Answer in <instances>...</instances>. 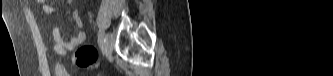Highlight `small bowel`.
<instances>
[{
  "instance_id": "c3829d8e",
  "label": "small bowel",
  "mask_w": 333,
  "mask_h": 76,
  "mask_svg": "<svg viewBox=\"0 0 333 76\" xmlns=\"http://www.w3.org/2000/svg\"><path fill=\"white\" fill-rule=\"evenodd\" d=\"M37 2L45 13H47L49 15L54 14L55 10L48 1L38 0ZM72 20L79 28V31L75 36L71 37L70 39L64 38L59 23L54 22V24H53V27H52V36H53V41H54L53 50L59 55H65L68 52L74 50L76 47H78L80 44H82L86 39V30L82 23L81 12L78 8H75L72 11ZM55 74H56V76H66L67 75L64 67L61 64H57L55 66Z\"/></svg>"
}]
</instances>
